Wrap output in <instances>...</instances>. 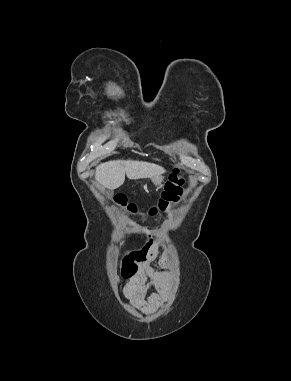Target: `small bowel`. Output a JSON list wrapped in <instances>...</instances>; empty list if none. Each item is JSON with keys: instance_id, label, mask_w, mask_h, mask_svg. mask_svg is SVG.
Here are the masks:
<instances>
[{"instance_id": "small-bowel-1", "label": "small bowel", "mask_w": 291, "mask_h": 381, "mask_svg": "<svg viewBox=\"0 0 291 381\" xmlns=\"http://www.w3.org/2000/svg\"><path fill=\"white\" fill-rule=\"evenodd\" d=\"M159 244L155 241L140 251L138 269L123 287V295L130 305L145 314L156 312L170 291L171 277L166 272L167 252L159 255ZM154 261L160 270L153 267Z\"/></svg>"}]
</instances>
